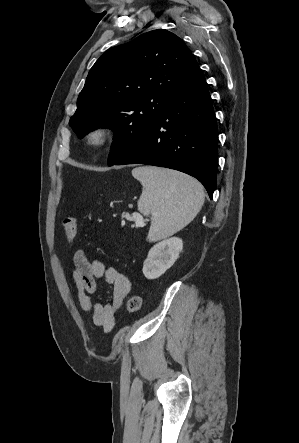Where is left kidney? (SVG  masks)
Wrapping results in <instances>:
<instances>
[{
  "mask_svg": "<svg viewBox=\"0 0 299 443\" xmlns=\"http://www.w3.org/2000/svg\"><path fill=\"white\" fill-rule=\"evenodd\" d=\"M183 242L171 237L154 245L143 263V274L148 279H156L166 272L178 259Z\"/></svg>",
  "mask_w": 299,
  "mask_h": 443,
  "instance_id": "left-kidney-1",
  "label": "left kidney"
}]
</instances>
